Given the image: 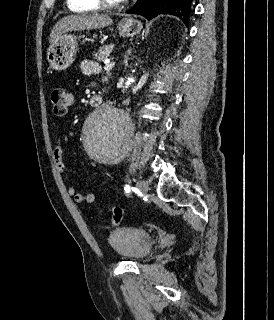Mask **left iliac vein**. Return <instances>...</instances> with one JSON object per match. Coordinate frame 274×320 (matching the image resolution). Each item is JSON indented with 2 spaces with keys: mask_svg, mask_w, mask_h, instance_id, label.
<instances>
[{
  "mask_svg": "<svg viewBox=\"0 0 274 320\" xmlns=\"http://www.w3.org/2000/svg\"><path fill=\"white\" fill-rule=\"evenodd\" d=\"M136 185H137V188L141 191V193H143L145 195L148 193L149 185H148V183L146 181L139 180V181H137Z\"/></svg>",
  "mask_w": 274,
  "mask_h": 320,
  "instance_id": "1",
  "label": "left iliac vein"
}]
</instances>
